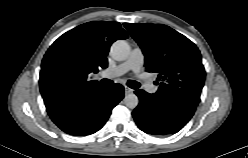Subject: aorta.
<instances>
[{"label": "aorta", "mask_w": 248, "mask_h": 158, "mask_svg": "<svg viewBox=\"0 0 248 158\" xmlns=\"http://www.w3.org/2000/svg\"><path fill=\"white\" fill-rule=\"evenodd\" d=\"M110 54L115 60H126L130 54V46L125 40H117L112 44ZM138 103L139 99L134 93H130L124 98V104L130 109L136 108Z\"/></svg>", "instance_id": "aorta-1"}]
</instances>
